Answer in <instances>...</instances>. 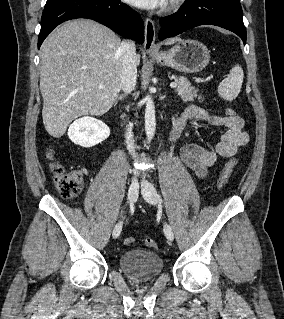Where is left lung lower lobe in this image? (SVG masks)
I'll return each instance as SVG.
<instances>
[{
	"instance_id": "1",
	"label": "left lung lower lobe",
	"mask_w": 284,
	"mask_h": 319,
	"mask_svg": "<svg viewBox=\"0 0 284 319\" xmlns=\"http://www.w3.org/2000/svg\"><path fill=\"white\" fill-rule=\"evenodd\" d=\"M239 0H186L178 12L160 19L159 39L176 36L196 26L209 24L228 29L246 43V29Z\"/></svg>"
}]
</instances>
